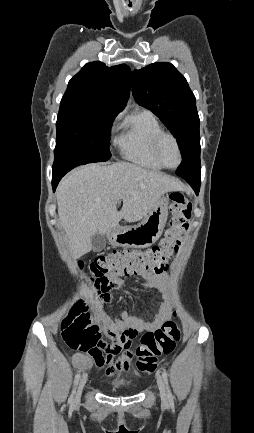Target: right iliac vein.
<instances>
[{
	"instance_id": "63e3f726",
	"label": "right iliac vein",
	"mask_w": 254,
	"mask_h": 433,
	"mask_svg": "<svg viewBox=\"0 0 254 433\" xmlns=\"http://www.w3.org/2000/svg\"><path fill=\"white\" fill-rule=\"evenodd\" d=\"M86 382H87V376L84 375L80 379L78 387H77V391H76V394H75V403H78L80 401L81 393H82V390H83Z\"/></svg>"
}]
</instances>
